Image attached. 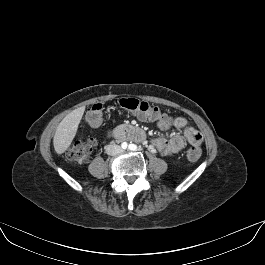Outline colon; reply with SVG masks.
<instances>
[{
  "label": "colon",
  "mask_w": 265,
  "mask_h": 265,
  "mask_svg": "<svg viewBox=\"0 0 265 265\" xmlns=\"http://www.w3.org/2000/svg\"><path fill=\"white\" fill-rule=\"evenodd\" d=\"M115 106L130 112L155 118H160L165 115L158 106L135 98H122L116 102ZM103 110L102 104L91 106L85 116L87 123L91 126H98L103 119ZM93 147L94 141L92 139L76 141L69 147L66 156L71 161L85 163L89 160ZM200 156L201 149L196 146L191 147L187 152V158L191 161L199 159Z\"/></svg>",
  "instance_id": "obj_1"
}]
</instances>
